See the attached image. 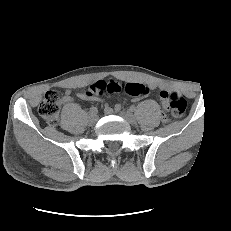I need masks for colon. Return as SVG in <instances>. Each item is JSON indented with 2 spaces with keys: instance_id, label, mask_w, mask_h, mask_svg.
Segmentation results:
<instances>
[{
  "instance_id": "5ec220e1",
  "label": "colon",
  "mask_w": 231,
  "mask_h": 231,
  "mask_svg": "<svg viewBox=\"0 0 231 231\" xmlns=\"http://www.w3.org/2000/svg\"><path fill=\"white\" fill-rule=\"evenodd\" d=\"M126 93L133 97H143L148 94L149 89L143 84L139 83H123L120 81H97L86 87L84 94L87 97H94L104 93ZM161 100L166 110L173 116H182L187 108L186 99L176 90L162 91ZM62 100V93L58 89H51L46 92L41 101L38 111L45 122L54 126L58 122L60 105Z\"/></svg>"
}]
</instances>
